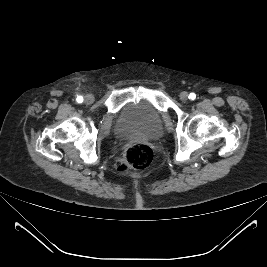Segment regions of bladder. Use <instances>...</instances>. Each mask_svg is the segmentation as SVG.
Instances as JSON below:
<instances>
[{"instance_id":"bladder-1","label":"bladder","mask_w":267,"mask_h":267,"mask_svg":"<svg viewBox=\"0 0 267 267\" xmlns=\"http://www.w3.org/2000/svg\"><path fill=\"white\" fill-rule=\"evenodd\" d=\"M162 130L161 112L147 99L127 103L115 125V133L121 137L140 135L156 138Z\"/></svg>"}]
</instances>
